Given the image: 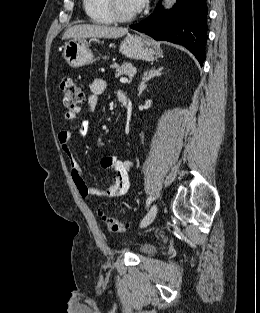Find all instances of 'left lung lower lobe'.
<instances>
[{"mask_svg": "<svg viewBox=\"0 0 260 313\" xmlns=\"http://www.w3.org/2000/svg\"><path fill=\"white\" fill-rule=\"evenodd\" d=\"M207 13L206 0H177L169 13L162 11L160 2L151 16L130 27L158 41L165 40L185 46L202 65L206 57Z\"/></svg>", "mask_w": 260, "mask_h": 313, "instance_id": "left-lung-lower-lobe-1", "label": "left lung lower lobe"}]
</instances>
